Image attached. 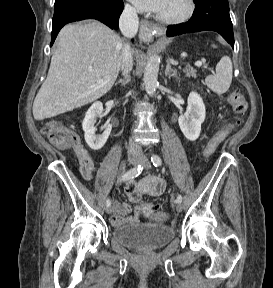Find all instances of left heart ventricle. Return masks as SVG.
Listing matches in <instances>:
<instances>
[{
	"label": "left heart ventricle",
	"mask_w": 273,
	"mask_h": 288,
	"mask_svg": "<svg viewBox=\"0 0 273 288\" xmlns=\"http://www.w3.org/2000/svg\"><path fill=\"white\" fill-rule=\"evenodd\" d=\"M186 8V0H167L159 14L166 17H175L183 14Z\"/></svg>",
	"instance_id": "1"
}]
</instances>
